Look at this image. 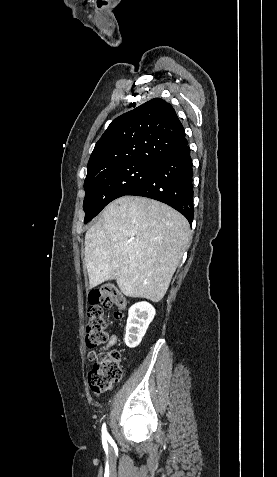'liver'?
<instances>
[{
    "label": "liver",
    "mask_w": 277,
    "mask_h": 477,
    "mask_svg": "<svg viewBox=\"0 0 277 477\" xmlns=\"http://www.w3.org/2000/svg\"><path fill=\"white\" fill-rule=\"evenodd\" d=\"M186 218L159 201L120 197L85 234L89 287L116 280L128 297L159 302L190 241Z\"/></svg>",
    "instance_id": "6515ba94"
}]
</instances>
